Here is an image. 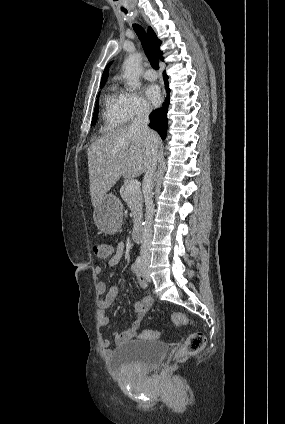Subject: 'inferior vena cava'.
<instances>
[{
	"label": "inferior vena cava",
	"instance_id": "inferior-vena-cava-1",
	"mask_svg": "<svg viewBox=\"0 0 285 424\" xmlns=\"http://www.w3.org/2000/svg\"><path fill=\"white\" fill-rule=\"evenodd\" d=\"M149 114L150 108L148 106H142L131 124V128L142 134H144L148 140L154 136V132L149 128ZM158 160L157 148L152 147L149 163L143 179V191L146 205V222L143 230V241L141 244V258L142 260H150V247L153 235L152 223L154 214L153 204V177L156 171Z\"/></svg>",
	"mask_w": 285,
	"mask_h": 424
}]
</instances>
